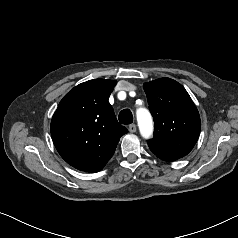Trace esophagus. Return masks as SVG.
<instances>
[{"label": "esophagus", "mask_w": 238, "mask_h": 238, "mask_svg": "<svg viewBox=\"0 0 238 238\" xmlns=\"http://www.w3.org/2000/svg\"><path fill=\"white\" fill-rule=\"evenodd\" d=\"M129 132H131V133H135L136 132V130H137V127H136V125L135 124H131V125H129Z\"/></svg>", "instance_id": "esophagus-1"}]
</instances>
